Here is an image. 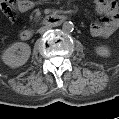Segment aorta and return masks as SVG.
I'll list each match as a JSON object with an SVG mask.
<instances>
[{"label":"aorta","mask_w":119,"mask_h":119,"mask_svg":"<svg viewBox=\"0 0 119 119\" xmlns=\"http://www.w3.org/2000/svg\"><path fill=\"white\" fill-rule=\"evenodd\" d=\"M62 29L64 32H72L74 29V25L71 21H66L62 25Z\"/></svg>","instance_id":"1"}]
</instances>
